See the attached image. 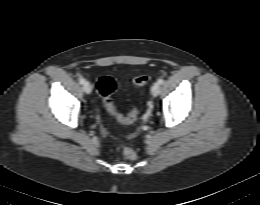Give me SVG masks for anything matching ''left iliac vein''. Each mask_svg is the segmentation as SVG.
<instances>
[{
  "label": "left iliac vein",
  "mask_w": 260,
  "mask_h": 205,
  "mask_svg": "<svg viewBox=\"0 0 260 205\" xmlns=\"http://www.w3.org/2000/svg\"><path fill=\"white\" fill-rule=\"evenodd\" d=\"M160 92V84L158 82H155L151 87V93L154 97L158 96Z\"/></svg>",
  "instance_id": "4c4485c4"
}]
</instances>
